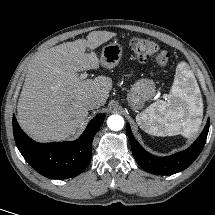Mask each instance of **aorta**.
<instances>
[{
  "label": "aorta",
  "instance_id": "1",
  "mask_svg": "<svg viewBox=\"0 0 215 215\" xmlns=\"http://www.w3.org/2000/svg\"><path fill=\"white\" fill-rule=\"evenodd\" d=\"M109 129L119 131L124 126V119L120 115H111L107 120Z\"/></svg>",
  "mask_w": 215,
  "mask_h": 215
}]
</instances>
